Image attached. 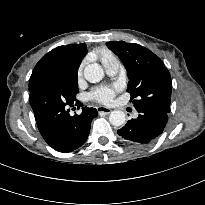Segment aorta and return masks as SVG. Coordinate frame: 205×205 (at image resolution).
I'll list each match as a JSON object with an SVG mask.
<instances>
[{
	"instance_id": "obj_1",
	"label": "aorta",
	"mask_w": 205,
	"mask_h": 205,
	"mask_svg": "<svg viewBox=\"0 0 205 205\" xmlns=\"http://www.w3.org/2000/svg\"><path fill=\"white\" fill-rule=\"evenodd\" d=\"M84 77L90 83L100 82L104 77V70L97 63L89 64L84 68ZM109 121L114 126H122L126 121L125 113L114 110L110 113Z\"/></svg>"
}]
</instances>
